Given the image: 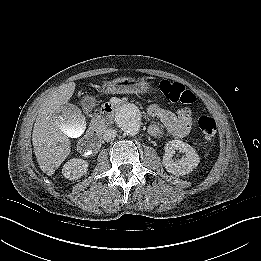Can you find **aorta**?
I'll use <instances>...</instances> for the list:
<instances>
[{"label": "aorta", "mask_w": 261, "mask_h": 261, "mask_svg": "<svg viewBox=\"0 0 261 261\" xmlns=\"http://www.w3.org/2000/svg\"><path fill=\"white\" fill-rule=\"evenodd\" d=\"M116 124L129 135H136L141 127V113L134 104H124L116 112Z\"/></svg>", "instance_id": "762f6f07"}]
</instances>
